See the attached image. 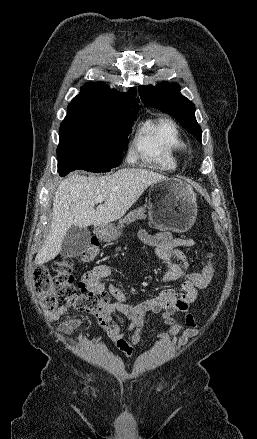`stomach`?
Listing matches in <instances>:
<instances>
[{
    "label": "stomach",
    "mask_w": 257,
    "mask_h": 439,
    "mask_svg": "<svg viewBox=\"0 0 257 439\" xmlns=\"http://www.w3.org/2000/svg\"><path fill=\"white\" fill-rule=\"evenodd\" d=\"M149 220L159 228L185 232L197 216L196 194L192 186L180 179L165 178L150 186ZM121 233L114 226L97 231L103 241L115 240Z\"/></svg>",
    "instance_id": "stomach-1"
}]
</instances>
